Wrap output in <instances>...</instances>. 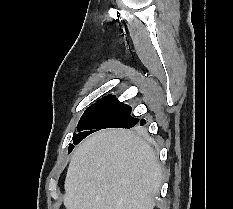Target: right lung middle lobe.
Returning <instances> with one entry per match:
<instances>
[{"label": "right lung middle lobe", "instance_id": "obj_1", "mask_svg": "<svg viewBox=\"0 0 233 209\" xmlns=\"http://www.w3.org/2000/svg\"><path fill=\"white\" fill-rule=\"evenodd\" d=\"M131 107L124 103L93 104L86 109L78 123V133L73 135V144L77 145L89 134L104 128L126 126L131 128L138 119L130 115ZM74 148L69 146V152Z\"/></svg>", "mask_w": 233, "mask_h": 209}]
</instances>
